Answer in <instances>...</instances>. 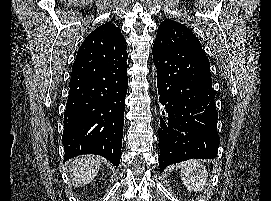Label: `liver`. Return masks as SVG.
<instances>
[{"instance_id":"1","label":"liver","mask_w":271,"mask_h":201,"mask_svg":"<svg viewBox=\"0 0 271 201\" xmlns=\"http://www.w3.org/2000/svg\"><path fill=\"white\" fill-rule=\"evenodd\" d=\"M102 158L98 156H80L69 165L70 179L75 187L92 182L100 170Z\"/></svg>"}]
</instances>
